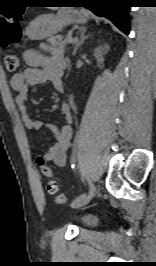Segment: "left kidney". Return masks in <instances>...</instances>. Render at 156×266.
I'll return each instance as SVG.
<instances>
[{
	"mask_svg": "<svg viewBox=\"0 0 156 266\" xmlns=\"http://www.w3.org/2000/svg\"><path fill=\"white\" fill-rule=\"evenodd\" d=\"M94 55L96 57L97 63L102 64L103 63L104 49L102 47H98L97 49H95Z\"/></svg>",
	"mask_w": 156,
	"mask_h": 266,
	"instance_id": "5707ae66",
	"label": "left kidney"
}]
</instances>
